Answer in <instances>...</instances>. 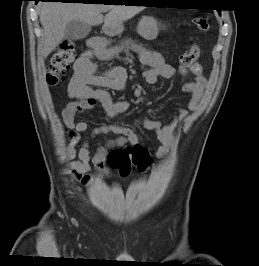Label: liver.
I'll use <instances>...</instances> for the list:
<instances>
[{"mask_svg":"<svg viewBox=\"0 0 259 266\" xmlns=\"http://www.w3.org/2000/svg\"><path fill=\"white\" fill-rule=\"evenodd\" d=\"M43 27L41 55L46 58L63 41L66 25L79 20L89 25L103 23V29L122 24L144 10L143 6L45 2L39 5ZM103 12H108L105 17Z\"/></svg>","mask_w":259,"mask_h":266,"instance_id":"obj_1","label":"liver"}]
</instances>
